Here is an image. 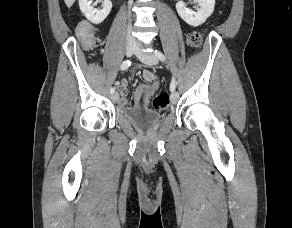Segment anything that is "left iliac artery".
I'll list each match as a JSON object with an SVG mask.
<instances>
[{"instance_id":"obj_1","label":"left iliac artery","mask_w":292,"mask_h":228,"mask_svg":"<svg viewBox=\"0 0 292 228\" xmlns=\"http://www.w3.org/2000/svg\"><path fill=\"white\" fill-rule=\"evenodd\" d=\"M155 55L156 57L160 60V61H165L166 60V57L164 56V54L158 50H155ZM175 88H176V81L175 79L173 78L171 80V83H170V91L171 92H174L175 91Z\"/></svg>"}]
</instances>
